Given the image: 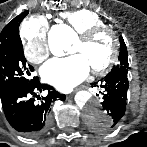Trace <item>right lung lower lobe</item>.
<instances>
[{
	"label": "right lung lower lobe",
	"instance_id": "1",
	"mask_svg": "<svg viewBox=\"0 0 147 147\" xmlns=\"http://www.w3.org/2000/svg\"><path fill=\"white\" fill-rule=\"evenodd\" d=\"M42 90H48V94L40 98L37 93ZM0 98L9 124L25 136L37 137L49 128L48 111L51 103L56 99L63 101L66 97L49 85H41L38 78L34 77L26 86L0 93Z\"/></svg>",
	"mask_w": 147,
	"mask_h": 147
}]
</instances>
